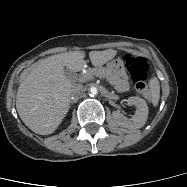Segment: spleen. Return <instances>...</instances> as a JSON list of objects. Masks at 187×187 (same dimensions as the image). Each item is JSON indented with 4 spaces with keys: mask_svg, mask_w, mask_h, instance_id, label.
Returning <instances> with one entry per match:
<instances>
[{
    "mask_svg": "<svg viewBox=\"0 0 187 187\" xmlns=\"http://www.w3.org/2000/svg\"><path fill=\"white\" fill-rule=\"evenodd\" d=\"M149 87L151 91L152 103L154 106H157L159 102V98H160V85L156 77H153L152 79H150Z\"/></svg>",
    "mask_w": 187,
    "mask_h": 187,
    "instance_id": "spleen-1",
    "label": "spleen"
}]
</instances>
